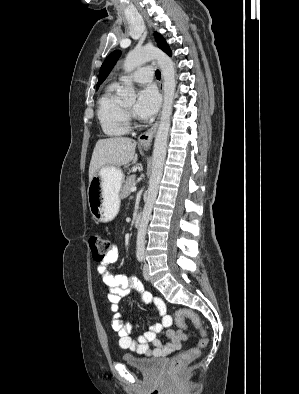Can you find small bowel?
I'll return each mask as SVG.
<instances>
[{
	"label": "small bowel",
	"instance_id": "obj_1",
	"mask_svg": "<svg viewBox=\"0 0 299 394\" xmlns=\"http://www.w3.org/2000/svg\"><path fill=\"white\" fill-rule=\"evenodd\" d=\"M119 256L118 246L111 245L106 257L97 265V272L107 287V298L111 304L112 311L115 315L112 320V328L119 336V345L121 348L129 349L139 355L147 357H159L172 351L179 350L182 343L189 339V334L184 331L185 324H179L178 329H172V317L167 312L165 302L152 293L143 291L136 277L112 274L108 266L117 261ZM132 291L140 293L144 302L154 305L162 318L161 323L150 325L146 332L139 336L137 340L131 337L132 324L125 323L124 317L118 312V302L131 294ZM163 328H166V336L169 342L162 343L156 336ZM152 344V347H150Z\"/></svg>",
	"mask_w": 299,
	"mask_h": 394
}]
</instances>
